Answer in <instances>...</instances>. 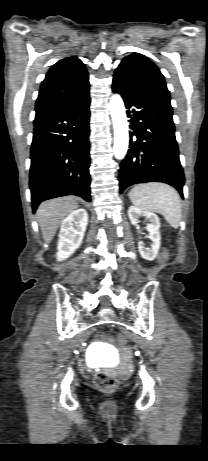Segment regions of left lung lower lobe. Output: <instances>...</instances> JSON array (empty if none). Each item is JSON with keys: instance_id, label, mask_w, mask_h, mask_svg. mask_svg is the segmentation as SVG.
<instances>
[{"instance_id": "obj_1", "label": "left lung lower lobe", "mask_w": 208, "mask_h": 461, "mask_svg": "<svg viewBox=\"0 0 208 461\" xmlns=\"http://www.w3.org/2000/svg\"><path fill=\"white\" fill-rule=\"evenodd\" d=\"M112 90L119 93L130 117V146L119 170V187L145 182H163L175 187L183 196L184 173L170 97L135 87L114 75Z\"/></svg>"}]
</instances>
